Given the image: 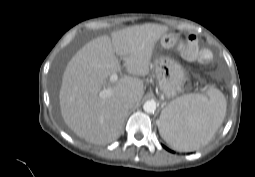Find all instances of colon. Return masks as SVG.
Masks as SVG:
<instances>
[{
  "mask_svg": "<svg viewBox=\"0 0 255 177\" xmlns=\"http://www.w3.org/2000/svg\"><path fill=\"white\" fill-rule=\"evenodd\" d=\"M165 45L177 47L182 57L188 61L207 64L213 59V54L209 49L199 48L198 38L195 34H189L184 41L176 36H170L165 40Z\"/></svg>",
  "mask_w": 255,
  "mask_h": 177,
  "instance_id": "5ec220e1",
  "label": "colon"
}]
</instances>
